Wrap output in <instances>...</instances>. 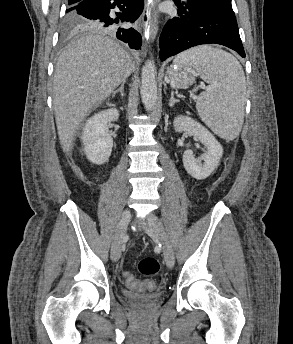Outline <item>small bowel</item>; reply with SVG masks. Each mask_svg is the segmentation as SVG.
<instances>
[{"label":"small bowel","instance_id":"obj_1","mask_svg":"<svg viewBox=\"0 0 293 344\" xmlns=\"http://www.w3.org/2000/svg\"><path fill=\"white\" fill-rule=\"evenodd\" d=\"M129 287L134 289V290H138V291H142L143 290L141 287H131V286H129Z\"/></svg>","mask_w":293,"mask_h":344}]
</instances>
